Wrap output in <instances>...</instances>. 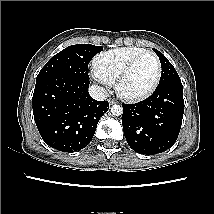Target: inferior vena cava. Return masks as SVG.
I'll list each match as a JSON object with an SVG mask.
<instances>
[{
    "mask_svg": "<svg viewBox=\"0 0 214 214\" xmlns=\"http://www.w3.org/2000/svg\"><path fill=\"white\" fill-rule=\"evenodd\" d=\"M89 94L90 96L98 101H103L107 99L108 92L103 87H100L98 85H92L89 87Z\"/></svg>",
    "mask_w": 214,
    "mask_h": 214,
    "instance_id": "602c4592",
    "label": "inferior vena cava"
}]
</instances>
